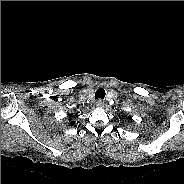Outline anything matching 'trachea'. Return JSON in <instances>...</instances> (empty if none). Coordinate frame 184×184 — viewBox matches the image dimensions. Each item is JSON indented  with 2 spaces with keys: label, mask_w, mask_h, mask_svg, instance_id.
Segmentation results:
<instances>
[{
  "label": "trachea",
  "mask_w": 184,
  "mask_h": 184,
  "mask_svg": "<svg viewBox=\"0 0 184 184\" xmlns=\"http://www.w3.org/2000/svg\"><path fill=\"white\" fill-rule=\"evenodd\" d=\"M106 93L103 88H98L95 92V98L96 99H104Z\"/></svg>",
  "instance_id": "1"
}]
</instances>
